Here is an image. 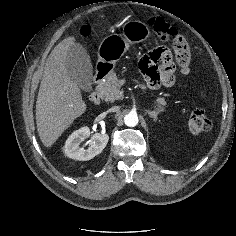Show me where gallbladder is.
Returning a JSON list of instances; mask_svg holds the SVG:
<instances>
[{
	"instance_id": "1",
	"label": "gallbladder",
	"mask_w": 236,
	"mask_h": 236,
	"mask_svg": "<svg viewBox=\"0 0 236 236\" xmlns=\"http://www.w3.org/2000/svg\"><path fill=\"white\" fill-rule=\"evenodd\" d=\"M69 77L85 92L92 89L93 67L90 56L80 44L71 46L65 62Z\"/></svg>"
}]
</instances>
